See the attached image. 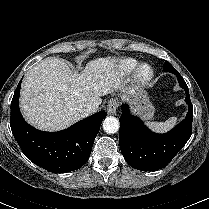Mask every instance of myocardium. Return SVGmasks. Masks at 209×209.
<instances>
[{
	"instance_id": "1",
	"label": "myocardium",
	"mask_w": 209,
	"mask_h": 209,
	"mask_svg": "<svg viewBox=\"0 0 209 209\" xmlns=\"http://www.w3.org/2000/svg\"><path fill=\"white\" fill-rule=\"evenodd\" d=\"M154 77V68L148 64H141L136 71V80L139 84H148Z\"/></svg>"
}]
</instances>
